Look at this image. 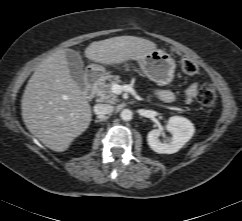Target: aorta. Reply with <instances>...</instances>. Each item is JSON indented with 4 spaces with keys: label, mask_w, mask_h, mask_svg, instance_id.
<instances>
[{
    "label": "aorta",
    "mask_w": 242,
    "mask_h": 221,
    "mask_svg": "<svg viewBox=\"0 0 242 221\" xmlns=\"http://www.w3.org/2000/svg\"><path fill=\"white\" fill-rule=\"evenodd\" d=\"M133 113L130 109H124L120 113V117L124 121H130L132 119Z\"/></svg>",
    "instance_id": "762f6f07"
}]
</instances>
